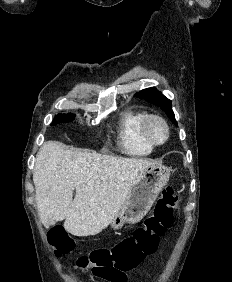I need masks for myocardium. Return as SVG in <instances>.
Listing matches in <instances>:
<instances>
[{
	"label": "myocardium",
	"instance_id": "obj_1",
	"mask_svg": "<svg viewBox=\"0 0 232 282\" xmlns=\"http://www.w3.org/2000/svg\"><path fill=\"white\" fill-rule=\"evenodd\" d=\"M162 125L165 131V136L162 140H156L151 134V125L153 123ZM140 134L143 140L153 148L164 145L170 137V127L165 118L158 114H146L140 125Z\"/></svg>",
	"mask_w": 232,
	"mask_h": 282
}]
</instances>
